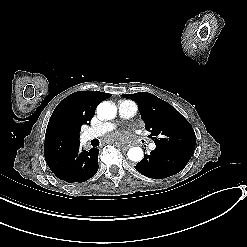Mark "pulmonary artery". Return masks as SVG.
Returning <instances> with one entry per match:
<instances>
[{"instance_id": "1", "label": "pulmonary artery", "mask_w": 247, "mask_h": 247, "mask_svg": "<svg viewBox=\"0 0 247 247\" xmlns=\"http://www.w3.org/2000/svg\"><path fill=\"white\" fill-rule=\"evenodd\" d=\"M118 110H119V115L122 118H128V117H132L136 113L137 108L132 105L122 103L118 105ZM115 126H117V123L113 124V122L110 120H107L102 124H97L94 126V128H89L82 132L81 141L87 142L91 139H94L97 135L103 134L105 130L110 131ZM147 148L149 150L156 151L158 149V146L154 141H149L147 143Z\"/></svg>"}]
</instances>
